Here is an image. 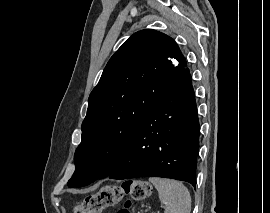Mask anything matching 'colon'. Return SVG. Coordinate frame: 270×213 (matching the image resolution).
I'll use <instances>...</instances> for the list:
<instances>
[{"instance_id": "1", "label": "colon", "mask_w": 270, "mask_h": 213, "mask_svg": "<svg viewBox=\"0 0 270 213\" xmlns=\"http://www.w3.org/2000/svg\"><path fill=\"white\" fill-rule=\"evenodd\" d=\"M151 192L150 184L140 179L129 180L121 186L107 185L76 205L74 213H101L105 208L116 205L124 194H127L129 199L117 213H131L132 202L149 197Z\"/></svg>"}]
</instances>
